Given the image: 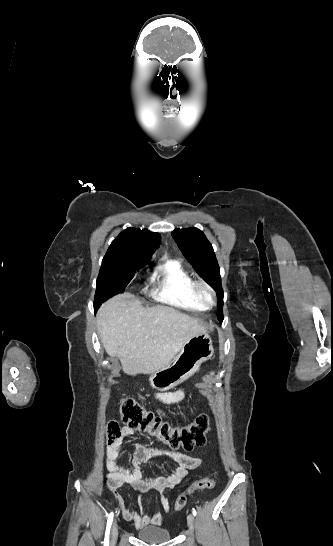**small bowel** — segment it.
Masks as SVG:
<instances>
[{
    "mask_svg": "<svg viewBox=\"0 0 333 546\" xmlns=\"http://www.w3.org/2000/svg\"><path fill=\"white\" fill-rule=\"evenodd\" d=\"M185 396L186 392L184 389L154 394V398L157 401L166 405H176L182 402ZM159 413L166 417L161 410ZM133 435L134 431L132 429L128 427L122 428L120 437L106 449L105 466L107 469L108 488L121 504L123 518L126 521L133 522L140 529L148 525H161L164 520V516L161 513L146 514L144 512L142 508L143 495L147 492L158 493L164 511L169 512L170 505L166 497V492L181 482L189 470L198 467L202 460L199 457L184 453L146 447L143 444L133 441ZM125 442L133 452V459L128 467L122 466L117 462L121 447ZM153 459H166L176 466L168 474L155 477L145 476L142 466ZM124 486H128L138 492L137 508H131L117 493V489Z\"/></svg>",
    "mask_w": 333,
    "mask_h": 546,
    "instance_id": "small-bowel-1",
    "label": "small bowel"
}]
</instances>
